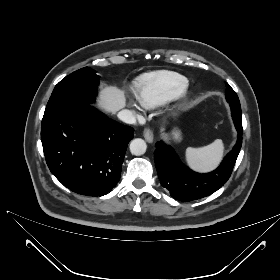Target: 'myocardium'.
Instances as JSON below:
<instances>
[{"label":"myocardium","mask_w":280,"mask_h":280,"mask_svg":"<svg viewBox=\"0 0 280 280\" xmlns=\"http://www.w3.org/2000/svg\"><path fill=\"white\" fill-rule=\"evenodd\" d=\"M188 96V91L185 89L184 91H182L178 96L175 97V101H174V107L179 106L183 101L186 100Z\"/></svg>","instance_id":"obj_1"}]
</instances>
